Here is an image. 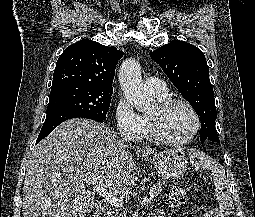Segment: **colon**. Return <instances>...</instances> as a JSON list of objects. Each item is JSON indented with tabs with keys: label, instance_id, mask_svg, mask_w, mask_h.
Wrapping results in <instances>:
<instances>
[{
	"label": "colon",
	"instance_id": "1",
	"mask_svg": "<svg viewBox=\"0 0 255 217\" xmlns=\"http://www.w3.org/2000/svg\"><path fill=\"white\" fill-rule=\"evenodd\" d=\"M170 203L174 207H180L187 201V193L180 185H173L169 194Z\"/></svg>",
	"mask_w": 255,
	"mask_h": 217
}]
</instances>
